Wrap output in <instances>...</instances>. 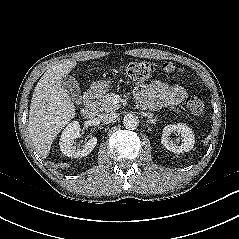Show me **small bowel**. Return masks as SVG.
Segmentation results:
<instances>
[{
	"instance_id": "obj_1",
	"label": "small bowel",
	"mask_w": 239,
	"mask_h": 239,
	"mask_svg": "<svg viewBox=\"0 0 239 239\" xmlns=\"http://www.w3.org/2000/svg\"><path fill=\"white\" fill-rule=\"evenodd\" d=\"M186 95L183 87L171 86L160 79L149 84H140L135 88V96L140 105L151 109L178 104Z\"/></svg>"
}]
</instances>
